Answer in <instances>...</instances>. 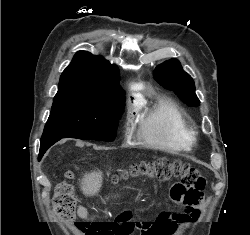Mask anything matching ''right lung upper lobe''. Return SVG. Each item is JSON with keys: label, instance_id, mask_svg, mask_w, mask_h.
I'll use <instances>...</instances> for the list:
<instances>
[{"label": "right lung upper lobe", "instance_id": "obj_1", "mask_svg": "<svg viewBox=\"0 0 250 235\" xmlns=\"http://www.w3.org/2000/svg\"><path fill=\"white\" fill-rule=\"evenodd\" d=\"M119 72L102 56L78 51L60 77L54 99L65 97H107L124 94L119 86Z\"/></svg>", "mask_w": 250, "mask_h": 235}]
</instances>
